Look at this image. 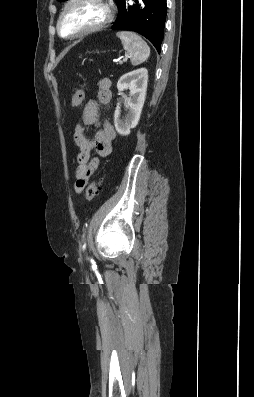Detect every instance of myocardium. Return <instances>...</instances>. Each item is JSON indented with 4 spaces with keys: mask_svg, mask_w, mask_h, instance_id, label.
Returning <instances> with one entry per match:
<instances>
[{
    "mask_svg": "<svg viewBox=\"0 0 254 397\" xmlns=\"http://www.w3.org/2000/svg\"><path fill=\"white\" fill-rule=\"evenodd\" d=\"M79 1H81V0H68V2L64 5V7L62 8V10H61V12H60V14L58 16V19H57V22H56V29H57L58 34L62 38H65V39H76V38H79V37H82V36H85V35L100 31L103 28L107 27L112 22V20L114 18V10H113L112 5L108 2V0H93L95 2L100 3L105 8L106 14H105L104 19L101 22H99L98 24L93 25V26L88 27V28H85V29H83V30H81V31H79V32H77L75 34L64 35L62 33V31H61L62 19L65 16V14L68 11V9L73 4H75V3L79 2Z\"/></svg>",
    "mask_w": 254,
    "mask_h": 397,
    "instance_id": "f54148a6",
    "label": "myocardium"
}]
</instances>
